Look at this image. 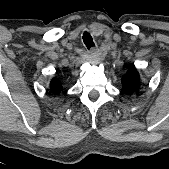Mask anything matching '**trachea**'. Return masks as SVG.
Masks as SVG:
<instances>
[{"label":"trachea","instance_id":"obj_1","mask_svg":"<svg viewBox=\"0 0 169 169\" xmlns=\"http://www.w3.org/2000/svg\"><path fill=\"white\" fill-rule=\"evenodd\" d=\"M82 38L88 50L94 46L93 38L89 32L85 31Z\"/></svg>","mask_w":169,"mask_h":169}]
</instances>
